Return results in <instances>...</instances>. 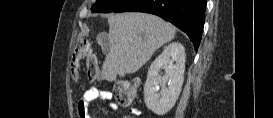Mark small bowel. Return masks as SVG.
Wrapping results in <instances>:
<instances>
[{"instance_id":"obj_1","label":"small bowel","mask_w":273,"mask_h":118,"mask_svg":"<svg viewBox=\"0 0 273 118\" xmlns=\"http://www.w3.org/2000/svg\"><path fill=\"white\" fill-rule=\"evenodd\" d=\"M96 99H102L107 102L109 107L113 110H118V104L113 100L112 95L109 92L100 91L97 88H89L82 95L77 103V111L80 118H90L89 105ZM130 114L133 116H139L140 111L137 108L130 109Z\"/></svg>"}]
</instances>
